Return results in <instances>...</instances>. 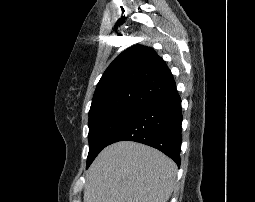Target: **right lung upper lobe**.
Returning <instances> with one entry per match:
<instances>
[{
	"instance_id": "obj_1",
	"label": "right lung upper lobe",
	"mask_w": 255,
	"mask_h": 202,
	"mask_svg": "<svg viewBox=\"0 0 255 202\" xmlns=\"http://www.w3.org/2000/svg\"><path fill=\"white\" fill-rule=\"evenodd\" d=\"M176 91L171 71L156 52L136 45L122 52L97 84L89 116L115 109L139 110Z\"/></svg>"
}]
</instances>
